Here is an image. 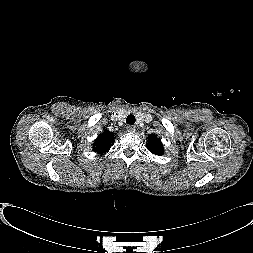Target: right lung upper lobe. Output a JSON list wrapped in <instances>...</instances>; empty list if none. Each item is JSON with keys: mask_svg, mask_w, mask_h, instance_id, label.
Wrapping results in <instances>:
<instances>
[{"mask_svg": "<svg viewBox=\"0 0 253 253\" xmlns=\"http://www.w3.org/2000/svg\"><path fill=\"white\" fill-rule=\"evenodd\" d=\"M114 142V134L108 130H104L102 134H100L93 144V150L99 154H103L108 151L113 145Z\"/></svg>", "mask_w": 253, "mask_h": 253, "instance_id": "right-lung-upper-lobe-1", "label": "right lung upper lobe"}]
</instances>
